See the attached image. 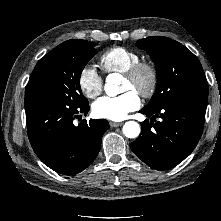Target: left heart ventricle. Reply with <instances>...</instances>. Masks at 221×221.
I'll return each instance as SVG.
<instances>
[{
    "label": "left heart ventricle",
    "instance_id": "1",
    "mask_svg": "<svg viewBox=\"0 0 221 221\" xmlns=\"http://www.w3.org/2000/svg\"><path fill=\"white\" fill-rule=\"evenodd\" d=\"M122 90L123 91H129V90H134V86L132 85V83L125 79L123 80V86H122ZM135 91V90H134Z\"/></svg>",
    "mask_w": 221,
    "mask_h": 221
}]
</instances>
